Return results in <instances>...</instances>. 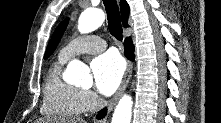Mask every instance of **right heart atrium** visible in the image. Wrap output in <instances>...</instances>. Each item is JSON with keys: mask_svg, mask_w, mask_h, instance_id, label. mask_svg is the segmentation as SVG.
Masks as SVG:
<instances>
[{"mask_svg": "<svg viewBox=\"0 0 221 123\" xmlns=\"http://www.w3.org/2000/svg\"><path fill=\"white\" fill-rule=\"evenodd\" d=\"M82 100L85 107V111H91L96 108L98 104L97 96L91 91H82Z\"/></svg>", "mask_w": 221, "mask_h": 123, "instance_id": "1", "label": "right heart atrium"}]
</instances>
